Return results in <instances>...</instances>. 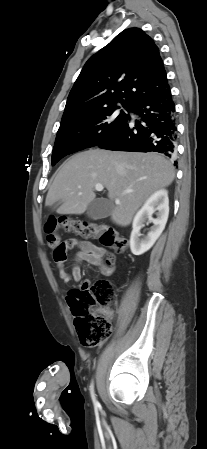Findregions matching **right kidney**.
I'll return each instance as SVG.
<instances>
[{"instance_id":"1","label":"right kidney","mask_w":207,"mask_h":449,"mask_svg":"<svg viewBox=\"0 0 207 449\" xmlns=\"http://www.w3.org/2000/svg\"><path fill=\"white\" fill-rule=\"evenodd\" d=\"M156 213V218L152 215ZM169 215V199L167 190H158L152 194L134 217L130 236V249L134 255H142L147 252L159 238L167 223ZM153 223L148 234L140 239V230L144 222Z\"/></svg>"}]
</instances>
